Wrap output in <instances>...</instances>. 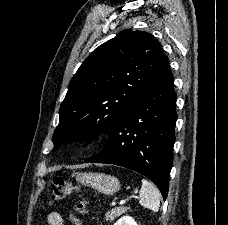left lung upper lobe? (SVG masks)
<instances>
[{
	"mask_svg": "<svg viewBox=\"0 0 228 225\" xmlns=\"http://www.w3.org/2000/svg\"><path fill=\"white\" fill-rule=\"evenodd\" d=\"M168 63L161 44L144 31H121L96 48L69 84L52 138L53 150L65 141L108 134Z\"/></svg>",
	"mask_w": 228,
	"mask_h": 225,
	"instance_id": "left-lung-upper-lobe-1",
	"label": "left lung upper lobe"
}]
</instances>
